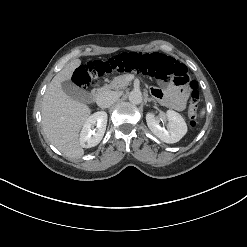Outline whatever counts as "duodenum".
Returning a JSON list of instances; mask_svg holds the SVG:
<instances>
[{"label": "duodenum", "mask_w": 247, "mask_h": 247, "mask_svg": "<svg viewBox=\"0 0 247 247\" xmlns=\"http://www.w3.org/2000/svg\"><path fill=\"white\" fill-rule=\"evenodd\" d=\"M102 94H103V88L95 87L92 91V100L96 102L101 97Z\"/></svg>", "instance_id": "obj_1"}]
</instances>
